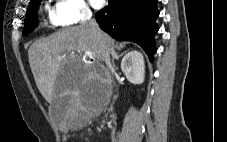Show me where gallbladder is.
Masks as SVG:
<instances>
[{
    "label": "gallbladder",
    "mask_w": 227,
    "mask_h": 142,
    "mask_svg": "<svg viewBox=\"0 0 227 142\" xmlns=\"http://www.w3.org/2000/svg\"><path fill=\"white\" fill-rule=\"evenodd\" d=\"M73 109L72 98L70 94L62 93L61 97L56 98L50 105L49 112L54 122L61 124L67 113H71Z\"/></svg>",
    "instance_id": "obj_1"
}]
</instances>
